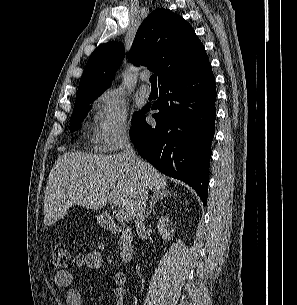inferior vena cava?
<instances>
[{
    "instance_id": "602c4592",
    "label": "inferior vena cava",
    "mask_w": 297,
    "mask_h": 305,
    "mask_svg": "<svg viewBox=\"0 0 297 305\" xmlns=\"http://www.w3.org/2000/svg\"><path fill=\"white\" fill-rule=\"evenodd\" d=\"M123 155L126 159L127 166L132 170L135 180V198L133 204V212L135 217V226L138 234H142L145 230V209L147 203V186L142 176V163L133 150L128 134L123 136Z\"/></svg>"
}]
</instances>
